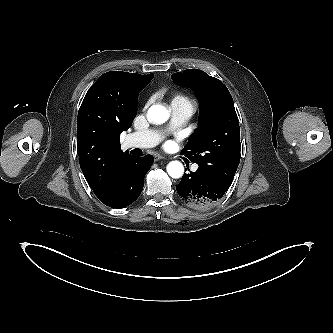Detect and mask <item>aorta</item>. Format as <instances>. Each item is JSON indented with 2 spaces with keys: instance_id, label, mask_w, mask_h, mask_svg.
Segmentation results:
<instances>
[{
  "instance_id": "aorta-1",
  "label": "aorta",
  "mask_w": 333,
  "mask_h": 333,
  "mask_svg": "<svg viewBox=\"0 0 333 333\" xmlns=\"http://www.w3.org/2000/svg\"><path fill=\"white\" fill-rule=\"evenodd\" d=\"M147 117L156 124H162L169 119V112L164 106L156 104L148 109ZM167 173L172 178H180L184 173L183 164L179 161H171L167 165Z\"/></svg>"
}]
</instances>
